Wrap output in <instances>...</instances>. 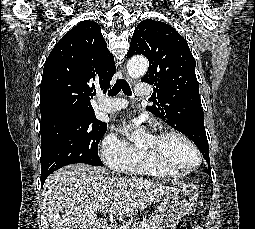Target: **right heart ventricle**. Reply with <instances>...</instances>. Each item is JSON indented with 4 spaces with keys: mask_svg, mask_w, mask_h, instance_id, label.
Returning a JSON list of instances; mask_svg holds the SVG:
<instances>
[{
    "mask_svg": "<svg viewBox=\"0 0 255 229\" xmlns=\"http://www.w3.org/2000/svg\"><path fill=\"white\" fill-rule=\"evenodd\" d=\"M123 172L131 175H141V176H155V177H175L153 165L149 162L144 154L138 149L136 156L128 162L123 170Z\"/></svg>",
    "mask_w": 255,
    "mask_h": 229,
    "instance_id": "right-heart-ventricle-1",
    "label": "right heart ventricle"
}]
</instances>
